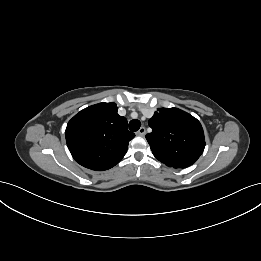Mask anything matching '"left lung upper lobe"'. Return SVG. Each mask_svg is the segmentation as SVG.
I'll use <instances>...</instances> for the list:
<instances>
[{
	"label": "left lung upper lobe",
	"instance_id": "left-lung-upper-lobe-1",
	"mask_svg": "<svg viewBox=\"0 0 261 261\" xmlns=\"http://www.w3.org/2000/svg\"><path fill=\"white\" fill-rule=\"evenodd\" d=\"M146 135L154 156L167 166L186 168L196 162L205 148L200 122L178 108H159L149 120Z\"/></svg>",
	"mask_w": 261,
	"mask_h": 261
}]
</instances>
